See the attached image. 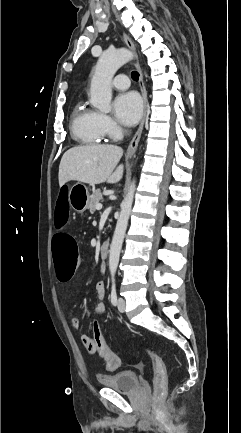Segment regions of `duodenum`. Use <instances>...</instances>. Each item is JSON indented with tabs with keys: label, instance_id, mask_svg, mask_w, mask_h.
<instances>
[{
	"label": "duodenum",
	"instance_id": "410a0bca",
	"mask_svg": "<svg viewBox=\"0 0 241 433\" xmlns=\"http://www.w3.org/2000/svg\"><path fill=\"white\" fill-rule=\"evenodd\" d=\"M108 254H109V242L104 241L101 245H100V256L102 260H106L108 258Z\"/></svg>",
	"mask_w": 241,
	"mask_h": 433
}]
</instances>
